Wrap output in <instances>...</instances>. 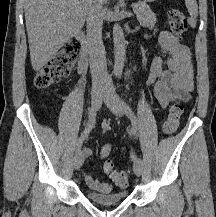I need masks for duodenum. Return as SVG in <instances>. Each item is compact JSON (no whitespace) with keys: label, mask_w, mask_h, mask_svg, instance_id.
<instances>
[{"label":"duodenum","mask_w":216,"mask_h":217,"mask_svg":"<svg viewBox=\"0 0 216 217\" xmlns=\"http://www.w3.org/2000/svg\"><path fill=\"white\" fill-rule=\"evenodd\" d=\"M76 39L79 42L81 49L79 53V68L80 71H84L89 62V45L86 40L84 33L78 32L76 34Z\"/></svg>","instance_id":"duodenum-1"}]
</instances>
